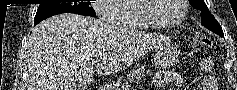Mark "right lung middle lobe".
<instances>
[{"mask_svg":"<svg viewBox=\"0 0 237 90\" xmlns=\"http://www.w3.org/2000/svg\"><path fill=\"white\" fill-rule=\"evenodd\" d=\"M91 2L40 4L35 15L34 23L60 13H75L85 16L96 17V13L89 5Z\"/></svg>","mask_w":237,"mask_h":90,"instance_id":"obj_1","label":"right lung middle lobe"}]
</instances>
